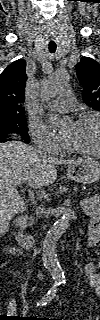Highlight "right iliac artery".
Returning a JSON list of instances; mask_svg holds the SVG:
<instances>
[{"mask_svg":"<svg viewBox=\"0 0 100 320\" xmlns=\"http://www.w3.org/2000/svg\"><path fill=\"white\" fill-rule=\"evenodd\" d=\"M61 281H55L52 288L44 295V297L37 303V306H43L46 305L48 302H50L54 296L56 295L57 288L60 286Z\"/></svg>","mask_w":100,"mask_h":320,"instance_id":"right-iliac-artery-1","label":"right iliac artery"}]
</instances>
